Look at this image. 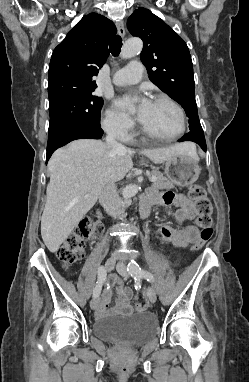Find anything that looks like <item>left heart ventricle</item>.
I'll use <instances>...</instances> for the list:
<instances>
[{"label":"left heart ventricle","instance_id":"obj_1","mask_svg":"<svg viewBox=\"0 0 249 382\" xmlns=\"http://www.w3.org/2000/svg\"><path fill=\"white\" fill-rule=\"evenodd\" d=\"M141 123L150 132L162 137L173 136L180 128L177 111L166 102H152Z\"/></svg>","mask_w":249,"mask_h":382}]
</instances>
